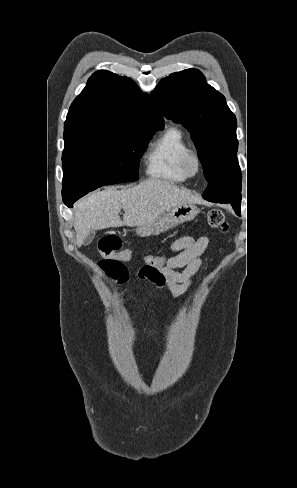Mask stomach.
<instances>
[{
	"mask_svg": "<svg viewBox=\"0 0 297 488\" xmlns=\"http://www.w3.org/2000/svg\"><path fill=\"white\" fill-rule=\"evenodd\" d=\"M199 213V208L192 203H185L170 208L147 224L138 226L137 234L142 237L158 235L184 222L192 221Z\"/></svg>",
	"mask_w": 297,
	"mask_h": 488,
	"instance_id": "0dacf381",
	"label": "stomach"
}]
</instances>
